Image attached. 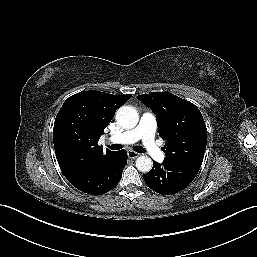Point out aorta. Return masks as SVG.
I'll return each mask as SVG.
<instances>
[{"instance_id": "762f6f07", "label": "aorta", "mask_w": 257, "mask_h": 257, "mask_svg": "<svg viewBox=\"0 0 257 257\" xmlns=\"http://www.w3.org/2000/svg\"><path fill=\"white\" fill-rule=\"evenodd\" d=\"M116 121L123 128L132 129L137 125L139 115L135 108L130 106H122L116 112ZM152 166L153 162L148 156L142 155L136 160V168L141 172H149Z\"/></svg>"}]
</instances>
